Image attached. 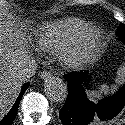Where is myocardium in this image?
Segmentation results:
<instances>
[{
  "mask_svg": "<svg viewBox=\"0 0 125 125\" xmlns=\"http://www.w3.org/2000/svg\"><path fill=\"white\" fill-rule=\"evenodd\" d=\"M102 41V30L97 26H88L60 51V59L69 68L84 65L96 58Z\"/></svg>",
  "mask_w": 125,
  "mask_h": 125,
  "instance_id": "f54148a6",
  "label": "myocardium"
}]
</instances>
